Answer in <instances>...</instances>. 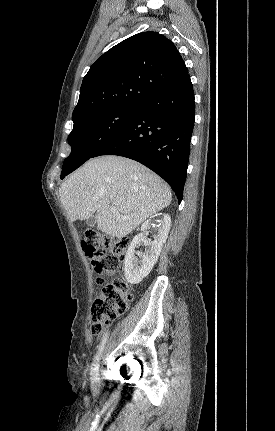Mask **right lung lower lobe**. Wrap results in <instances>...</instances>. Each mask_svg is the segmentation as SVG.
<instances>
[{
    "mask_svg": "<svg viewBox=\"0 0 275 431\" xmlns=\"http://www.w3.org/2000/svg\"><path fill=\"white\" fill-rule=\"evenodd\" d=\"M195 120L189 74L139 107L131 122L93 157L119 155L136 160L161 176L182 200Z\"/></svg>",
    "mask_w": 275,
    "mask_h": 431,
    "instance_id": "1",
    "label": "right lung lower lobe"
}]
</instances>
